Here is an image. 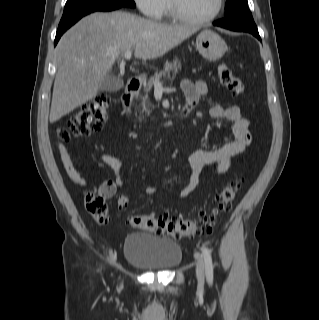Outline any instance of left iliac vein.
I'll return each mask as SVG.
<instances>
[{"label": "left iliac vein", "mask_w": 319, "mask_h": 320, "mask_svg": "<svg viewBox=\"0 0 319 320\" xmlns=\"http://www.w3.org/2000/svg\"><path fill=\"white\" fill-rule=\"evenodd\" d=\"M196 260H197L196 276H197L199 283L202 284L204 282V264L198 254H196Z\"/></svg>", "instance_id": "obj_1"}]
</instances>
